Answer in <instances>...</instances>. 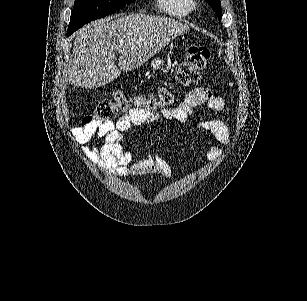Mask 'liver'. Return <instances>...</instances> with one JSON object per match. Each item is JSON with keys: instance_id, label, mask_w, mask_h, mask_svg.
I'll return each instance as SVG.
<instances>
[{"instance_id": "obj_1", "label": "liver", "mask_w": 307, "mask_h": 301, "mask_svg": "<svg viewBox=\"0 0 307 301\" xmlns=\"http://www.w3.org/2000/svg\"><path fill=\"white\" fill-rule=\"evenodd\" d=\"M101 18L75 32L69 82L73 86L98 88L134 70L160 52L172 38L188 32L187 22L152 14H116ZM119 52L118 66L116 54Z\"/></svg>"}]
</instances>
